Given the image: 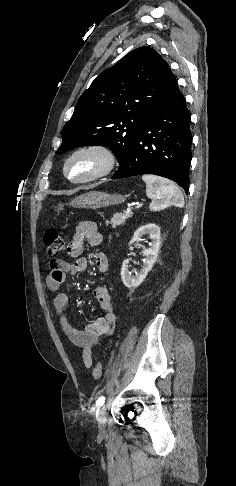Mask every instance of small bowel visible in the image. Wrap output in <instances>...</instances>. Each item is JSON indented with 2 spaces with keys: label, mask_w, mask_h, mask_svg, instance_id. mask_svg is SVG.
Wrapping results in <instances>:
<instances>
[{
  "label": "small bowel",
  "mask_w": 236,
  "mask_h": 486,
  "mask_svg": "<svg viewBox=\"0 0 236 486\" xmlns=\"http://www.w3.org/2000/svg\"><path fill=\"white\" fill-rule=\"evenodd\" d=\"M103 241V236L98 232L95 223L86 221L76 226L73 239L67 245L66 251L70 257L75 258L73 262L61 259L50 261V271L46 278L47 287L51 291H58L66 281L67 275L83 273L87 269V260L81 257L85 244L98 246ZM95 265L99 272L105 273L109 269V260L104 253L95 256ZM94 298L99 302L101 309L105 312L84 329L76 328L68 317L69 298L66 293H58L53 300L54 309L59 319L62 331L69 340L81 348V358L86 368L93 365L92 350L100 340L113 332L117 316L114 311L110 292L107 287L99 286L93 290Z\"/></svg>",
  "instance_id": "obj_1"
}]
</instances>
